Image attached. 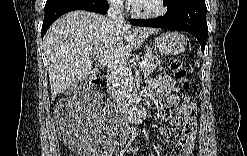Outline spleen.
Wrapping results in <instances>:
<instances>
[{"label":"spleen","mask_w":247,"mask_h":156,"mask_svg":"<svg viewBox=\"0 0 247 156\" xmlns=\"http://www.w3.org/2000/svg\"><path fill=\"white\" fill-rule=\"evenodd\" d=\"M196 66L199 67V62L198 61L196 62Z\"/></svg>","instance_id":"spleen-1"}]
</instances>
